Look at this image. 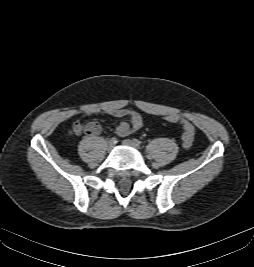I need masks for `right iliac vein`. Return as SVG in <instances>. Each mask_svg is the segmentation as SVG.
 Segmentation results:
<instances>
[{
    "mask_svg": "<svg viewBox=\"0 0 254 267\" xmlns=\"http://www.w3.org/2000/svg\"><path fill=\"white\" fill-rule=\"evenodd\" d=\"M113 146H114L113 144H109L107 149L111 150L113 148Z\"/></svg>",
    "mask_w": 254,
    "mask_h": 267,
    "instance_id": "1",
    "label": "right iliac vein"
}]
</instances>
